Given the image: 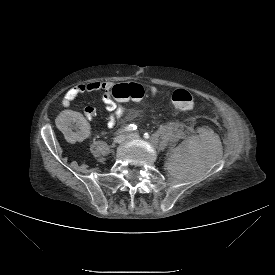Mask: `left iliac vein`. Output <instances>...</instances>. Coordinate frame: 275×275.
<instances>
[{
    "label": "left iliac vein",
    "instance_id": "1",
    "mask_svg": "<svg viewBox=\"0 0 275 275\" xmlns=\"http://www.w3.org/2000/svg\"><path fill=\"white\" fill-rule=\"evenodd\" d=\"M128 139H140V136L138 133H131L127 136Z\"/></svg>",
    "mask_w": 275,
    "mask_h": 275
}]
</instances>
